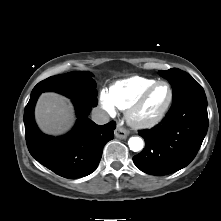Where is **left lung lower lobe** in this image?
<instances>
[{
	"label": "left lung lower lobe",
	"mask_w": 221,
	"mask_h": 221,
	"mask_svg": "<svg viewBox=\"0 0 221 221\" xmlns=\"http://www.w3.org/2000/svg\"><path fill=\"white\" fill-rule=\"evenodd\" d=\"M208 130L207 99L202 87L173 98L165 119L139 135L145 148L133 157L151 175H167L186 167L196 156Z\"/></svg>",
	"instance_id": "1"
}]
</instances>
